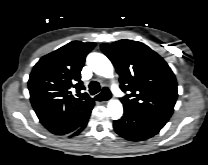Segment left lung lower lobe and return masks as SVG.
<instances>
[{"mask_svg": "<svg viewBox=\"0 0 208 165\" xmlns=\"http://www.w3.org/2000/svg\"><path fill=\"white\" fill-rule=\"evenodd\" d=\"M169 117L135 112L124 108L121 119L114 121V130L129 141H143L156 135L167 123Z\"/></svg>", "mask_w": 208, "mask_h": 165, "instance_id": "obj_1", "label": "left lung lower lobe"}]
</instances>
